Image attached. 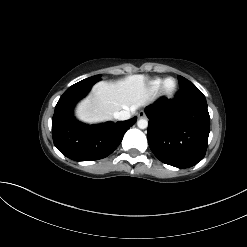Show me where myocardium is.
Listing matches in <instances>:
<instances>
[{
  "label": "myocardium",
  "mask_w": 247,
  "mask_h": 247,
  "mask_svg": "<svg viewBox=\"0 0 247 247\" xmlns=\"http://www.w3.org/2000/svg\"><path fill=\"white\" fill-rule=\"evenodd\" d=\"M169 81H173V87L170 89L167 87V83ZM177 88H178V83H177L176 79L169 77L163 81L161 90H162L163 95H165L167 97H171L175 94Z\"/></svg>",
  "instance_id": "myocardium-1"
}]
</instances>
